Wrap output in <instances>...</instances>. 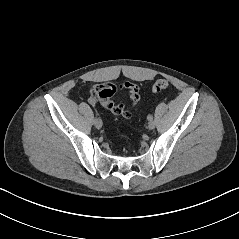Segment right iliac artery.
<instances>
[{"label":"right iliac artery","instance_id":"1","mask_svg":"<svg viewBox=\"0 0 239 239\" xmlns=\"http://www.w3.org/2000/svg\"><path fill=\"white\" fill-rule=\"evenodd\" d=\"M99 119L97 117L94 118V123L97 122Z\"/></svg>","mask_w":239,"mask_h":239}]
</instances>
